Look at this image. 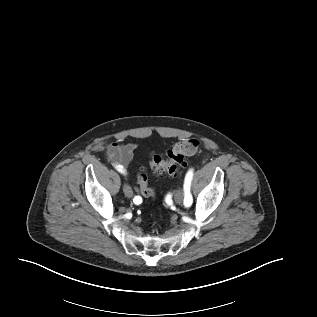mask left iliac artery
<instances>
[{
	"label": "left iliac artery",
	"instance_id": "1",
	"mask_svg": "<svg viewBox=\"0 0 317 317\" xmlns=\"http://www.w3.org/2000/svg\"><path fill=\"white\" fill-rule=\"evenodd\" d=\"M192 177H193V169H190L185 176V181L183 185L184 195H185L184 197L185 206H190L192 204V195L190 192Z\"/></svg>",
	"mask_w": 317,
	"mask_h": 317
}]
</instances>
